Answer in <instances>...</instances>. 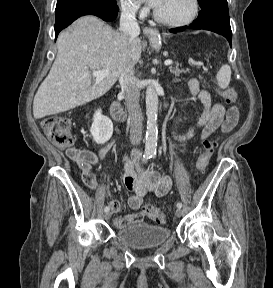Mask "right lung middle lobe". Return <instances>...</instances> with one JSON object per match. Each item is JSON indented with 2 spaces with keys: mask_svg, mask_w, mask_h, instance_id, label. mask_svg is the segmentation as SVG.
<instances>
[{
  "mask_svg": "<svg viewBox=\"0 0 273 288\" xmlns=\"http://www.w3.org/2000/svg\"><path fill=\"white\" fill-rule=\"evenodd\" d=\"M96 8L106 12H118L116 0H57L55 14L69 9Z\"/></svg>",
  "mask_w": 273,
  "mask_h": 288,
  "instance_id": "obj_1",
  "label": "right lung middle lobe"
}]
</instances>
